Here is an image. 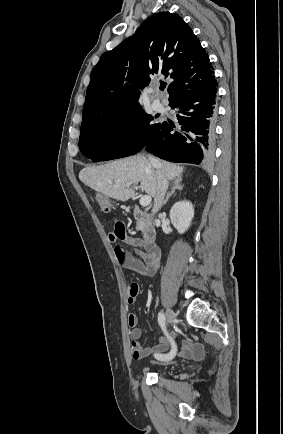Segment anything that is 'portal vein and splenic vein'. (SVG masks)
I'll return each instance as SVG.
<instances>
[{
	"label": "portal vein and splenic vein",
	"instance_id": "18ae733b",
	"mask_svg": "<svg viewBox=\"0 0 283 434\" xmlns=\"http://www.w3.org/2000/svg\"><path fill=\"white\" fill-rule=\"evenodd\" d=\"M129 186H131V184L130 183H128L127 184V187H129ZM138 186H136V185H134V189L135 190H138ZM151 201H152V198H151V196H149V195H145V196H142L141 198H140V205L141 206H143V207H146V206H148L150 203H151Z\"/></svg>",
	"mask_w": 283,
	"mask_h": 434
}]
</instances>
